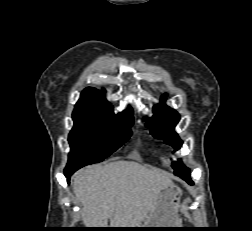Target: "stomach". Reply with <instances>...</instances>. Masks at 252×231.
<instances>
[{
  "label": "stomach",
  "instance_id": "obj_1",
  "mask_svg": "<svg viewBox=\"0 0 252 231\" xmlns=\"http://www.w3.org/2000/svg\"><path fill=\"white\" fill-rule=\"evenodd\" d=\"M181 191L175 185L171 184L164 188L152 208L146 222L138 227L140 230H175V229H151V228H179L177 211L180 202Z\"/></svg>",
  "mask_w": 252,
  "mask_h": 231
}]
</instances>
